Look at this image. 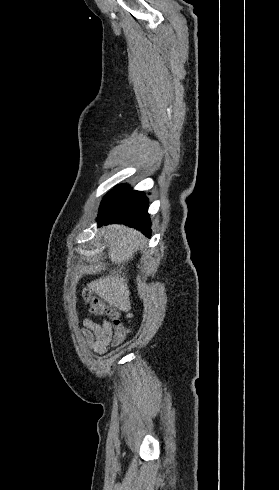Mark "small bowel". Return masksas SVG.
I'll list each match as a JSON object with an SVG mask.
<instances>
[{
	"instance_id": "obj_1",
	"label": "small bowel",
	"mask_w": 279,
	"mask_h": 490,
	"mask_svg": "<svg viewBox=\"0 0 279 490\" xmlns=\"http://www.w3.org/2000/svg\"><path fill=\"white\" fill-rule=\"evenodd\" d=\"M113 336V325L107 319H103L99 323L90 318H85L83 320V340L87 346H89L95 352L100 354L105 353L108 346L113 341Z\"/></svg>"
}]
</instances>
